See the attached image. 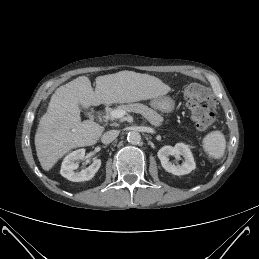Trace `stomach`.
Masks as SVG:
<instances>
[{
  "instance_id": "obj_1",
  "label": "stomach",
  "mask_w": 259,
  "mask_h": 259,
  "mask_svg": "<svg viewBox=\"0 0 259 259\" xmlns=\"http://www.w3.org/2000/svg\"><path fill=\"white\" fill-rule=\"evenodd\" d=\"M151 105L162 112L169 113L173 111L175 103L167 96H159L151 101Z\"/></svg>"
}]
</instances>
